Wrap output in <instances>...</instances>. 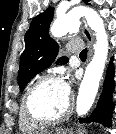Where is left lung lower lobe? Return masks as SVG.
<instances>
[{"mask_svg": "<svg viewBox=\"0 0 116 134\" xmlns=\"http://www.w3.org/2000/svg\"><path fill=\"white\" fill-rule=\"evenodd\" d=\"M113 77L114 69L111 61L105 78L103 91L95 111L89 117L80 119V122L96 121L101 122L105 126L110 125L109 120L111 118V112L114 108V105L111 102L112 92L114 90Z\"/></svg>", "mask_w": 116, "mask_h": 134, "instance_id": "0a47b994", "label": "left lung lower lobe"}]
</instances>
